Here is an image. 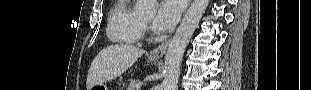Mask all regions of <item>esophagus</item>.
Returning <instances> with one entry per match:
<instances>
[{
	"instance_id": "34e87169",
	"label": "esophagus",
	"mask_w": 311,
	"mask_h": 90,
	"mask_svg": "<svg viewBox=\"0 0 311 90\" xmlns=\"http://www.w3.org/2000/svg\"><path fill=\"white\" fill-rule=\"evenodd\" d=\"M191 2V0H189V3ZM170 39L166 40L165 42H163L161 45H159L158 47L154 48L153 50L150 51L149 57L153 58V59H159L161 57H163V55L166 52V49L169 45Z\"/></svg>"
}]
</instances>
